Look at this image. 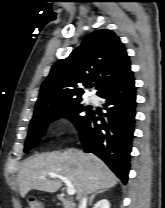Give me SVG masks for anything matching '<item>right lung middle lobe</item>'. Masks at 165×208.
Here are the masks:
<instances>
[{"label":"right lung middle lobe","instance_id":"1","mask_svg":"<svg viewBox=\"0 0 165 208\" xmlns=\"http://www.w3.org/2000/svg\"><path fill=\"white\" fill-rule=\"evenodd\" d=\"M81 101L82 99L53 104L34 112L24 151L27 152L33 148L44 135L48 124L58 118L68 117L79 129L92 113ZM84 111H86V115H82Z\"/></svg>","mask_w":165,"mask_h":208}]
</instances>
